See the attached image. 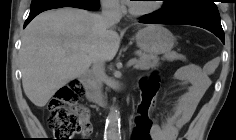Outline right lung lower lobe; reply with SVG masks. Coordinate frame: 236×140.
<instances>
[{"instance_id": "right-lung-lower-lobe-1", "label": "right lung lower lobe", "mask_w": 236, "mask_h": 140, "mask_svg": "<svg viewBox=\"0 0 236 140\" xmlns=\"http://www.w3.org/2000/svg\"><path fill=\"white\" fill-rule=\"evenodd\" d=\"M61 7H75V8H81V9H86V10H98V9H91L87 6L82 5V4L73 3V2H64V3L47 5V6H43V7H39V8H35V9L30 10V14L24 23V27H26L29 24V22L35 16H37L39 13L46 11V10L56 9V8H61Z\"/></svg>"}]
</instances>
